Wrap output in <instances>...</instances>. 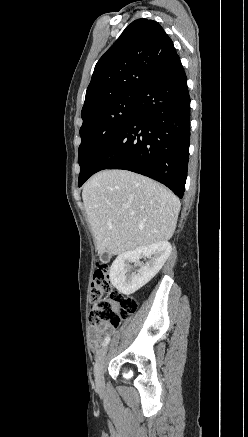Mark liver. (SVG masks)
Instances as JSON below:
<instances>
[{"label":"liver","mask_w":248,"mask_h":437,"mask_svg":"<svg viewBox=\"0 0 248 437\" xmlns=\"http://www.w3.org/2000/svg\"><path fill=\"white\" fill-rule=\"evenodd\" d=\"M82 198L100 255L169 240L180 211V201L170 190L125 170L95 174L83 187Z\"/></svg>","instance_id":"obj_1"}]
</instances>
